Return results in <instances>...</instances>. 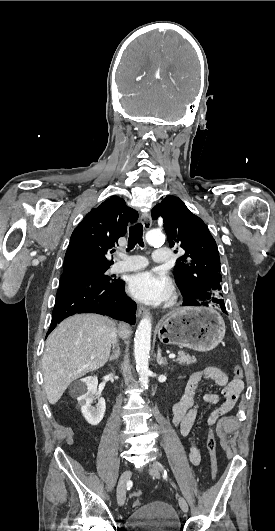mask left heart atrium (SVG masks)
Returning <instances> with one entry per match:
<instances>
[{
    "mask_svg": "<svg viewBox=\"0 0 275 531\" xmlns=\"http://www.w3.org/2000/svg\"><path fill=\"white\" fill-rule=\"evenodd\" d=\"M128 291L136 299L155 303L164 300L170 289L167 276L154 269H142L128 277Z\"/></svg>",
    "mask_w": 275,
    "mask_h": 531,
    "instance_id": "39dd6f15",
    "label": "left heart atrium"
}]
</instances>
